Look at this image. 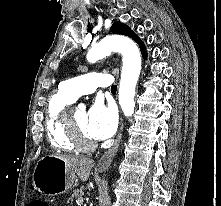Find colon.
Masks as SVG:
<instances>
[{"label": "colon", "instance_id": "obj_1", "mask_svg": "<svg viewBox=\"0 0 221 206\" xmlns=\"http://www.w3.org/2000/svg\"><path fill=\"white\" fill-rule=\"evenodd\" d=\"M29 206H50V205L43 200H33L32 202H30Z\"/></svg>", "mask_w": 221, "mask_h": 206}]
</instances>
